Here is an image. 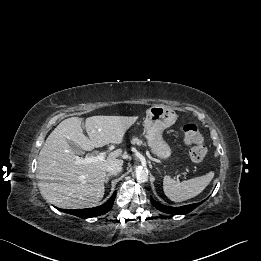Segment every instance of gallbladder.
Here are the masks:
<instances>
[{
  "mask_svg": "<svg viewBox=\"0 0 261 261\" xmlns=\"http://www.w3.org/2000/svg\"><path fill=\"white\" fill-rule=\"evenodd\" d=\"M69 144H70V146L72 147V149L74 150V151H81L73 142H69Z\"/></svg>",
  "mask_w": 261,
  "mask_h": 261,
  "instance_id": "bac80fb5",
  "label": "gallbladder"
}]
</instances>
